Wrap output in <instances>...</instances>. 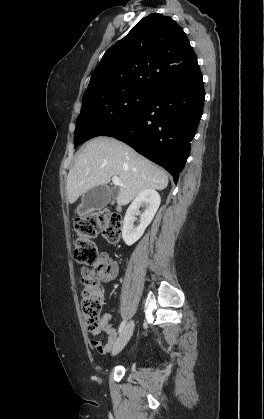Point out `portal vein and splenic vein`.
I'll return each mask as SVG.
<instances>
[{"instance_id":"18ae733b","label":"portal vein and splenic vein","mask_w":264,"mask_h":419,"mask_svg":"<svg viewBox=\"0 0 264 419\" xmlns=\"http://www.w3.org/2000/svg\"><path fill=\"white\" fill-rule=\"evenodd\" d=\"M112 182L116 185V186H120V187H124L125 185L121 182V180L119 179V177L114 176L112 177Z\"/></svg>"}]
</instances>
